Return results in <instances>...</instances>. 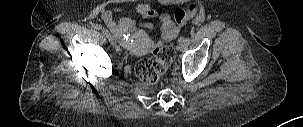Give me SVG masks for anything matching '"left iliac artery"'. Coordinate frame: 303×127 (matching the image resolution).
<instances>
[{
  "instance_id": "44dca946",
  "label": "left iliac artery",
  "mask_w": 303,
  "mask_h": 127,
  "mask_svg": "<svg viewBox=\"0 0 303 127\" xmlns=\"http://www.w3.org/2000/svg\"><path fill=\"white\" fill-rule=\"evenodd\" d=\"M185 40H186V43H187L188 45H189V44L191 43V41H192L191 38H189V37H186Z\"/></svg>"
}]
</instances>
